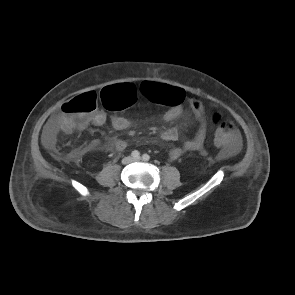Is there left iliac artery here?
I'll return each mask as SVG.
<instances>
[{
  "instance_id": "44dca946",
  "label": "left iliac artery",
  "mask_w": 295,
  "mask_h": 295,
  "mask_svg": "<svg viewBox=\"0 0 295 295\" xmlns=\"http://www.w3.org/2000/svg\"><path fill=\"white\" fill-rule=\"evenodd\" d=\"M142 159H143L144 161H149L150 156H149L148 154H143Z\"/></svg>"
}]
</instances>
